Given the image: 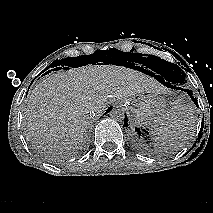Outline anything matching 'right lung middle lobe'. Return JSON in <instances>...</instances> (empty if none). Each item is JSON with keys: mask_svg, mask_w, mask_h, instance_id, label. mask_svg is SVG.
<instances>
[{"mask_svg": "<svg viewBox=\"0 0 213 213\" xmlns=\"http://www.w3.org/2000/svg\"><path fill=\"white\" fill-rule=\"evenodd\" d=\"M124 54V52L119 51L117 49H109L107 51H100L97 50L91 55H83V56H78L74 58H66L62 60H55L48 68L52 67H59V66H70V67H79V66H84L89 63V57H92V59H111L114 60L118 57H121Z\"/></svg>", "mask_w": 213, "mask_h": 213, "instance_id": "1", "label": "right lung middle lobe"}]
</instances>
